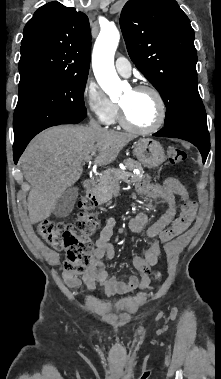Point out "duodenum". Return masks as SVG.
Returning <instances> with one entry per match:
<instances>
[{"label":"duodenum","mask_w":221,"mask_h":379,"mask_svg":"<svg viewBox=\"0 0 221 379\" xmlns=\"http://www.w3.org/2000/svg\"><path fill=\"white\" fill-rule=\"evenodd\" d=\"M94 189H95V185L93 181L87 180L84 182L83 191L86 198L95 200Z\"/></svg>","instance_id":"1"}]
</instances>
